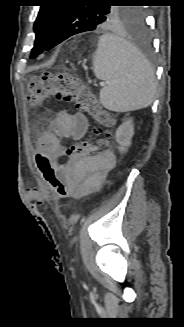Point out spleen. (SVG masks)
<instances>
[{"mask_svg": "<svg viewBox=\"0 0 184 327\" xmlns=\"http://www.w3.org/2000/svg\"><path fill=\"white\" fill-rule=\"evenodd\" d=\"M97 78L107 85L100 102L112 111L126 112L148 107L156 93L154 70L128 41L111 34L99 38L93 58Z\"/></svg>", "mask_w": 184, "mask_h": 327, "instance_id": "1", "label": "spleen"}]
</instances>
